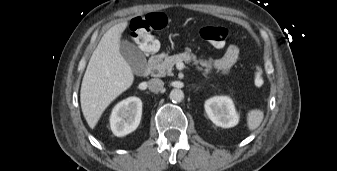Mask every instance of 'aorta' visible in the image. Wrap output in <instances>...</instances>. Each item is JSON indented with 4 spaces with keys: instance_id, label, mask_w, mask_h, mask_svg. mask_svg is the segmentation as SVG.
I'll list each match as a JSON object with an SVG mask.
<instances>
[{
    "instance_id": "762f6f07",
    "label": "aorta",
    "mask_w": 337,
    "mask_h": 171,
    "mask_svg": "<svg viewBox=\"0 0 337 171\" xmlns=\"http://www.w3.org/2000/svg\"><path fill=\"white\" fill-rule=\"evenodd\" d=\"M170 99L174 103L181 102L184 98V93L181 89H173L169 95Z\"/></svg>"
}]
</instances>
